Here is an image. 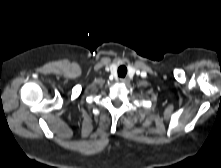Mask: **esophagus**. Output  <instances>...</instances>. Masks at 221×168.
Wrapping results in <instances>:
<instances>
[{
	"mask_svg": "<svg viewBox=\"0 0 221 168\" xmlns=\"http://www.w3.org/2000/svg\"><path fill=\"white\" fill-rule=\"evenodd\" d=\"M120 81L122 83H128L129 82V79L128 78H121Z\"/></svg>",
	"mask_w": 221,
	"mask_h": 168,
	"instance_id": "1",
	"label": "esophagus"
}]
</instances>
